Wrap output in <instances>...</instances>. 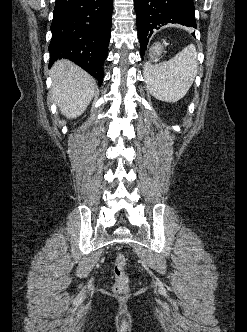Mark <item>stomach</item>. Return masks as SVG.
I'll list each match as a JSON object with an SVG mask.
<instances>
[{"mask_svg": "<svg viewBox=\"0 0 247 332\" xmlns=\"http://www.w3.org/2000/svg\"><path fill=\"white\" fill-rule=\"evenodd\" d=\"M162 50V46L160 44H156L150 49V57L156 60L161 55Z\"/></svg>", "mask_w": 247, "mask_h": 332, "instance_id": "obj_1", "label": "stomach"}]
</instances>
